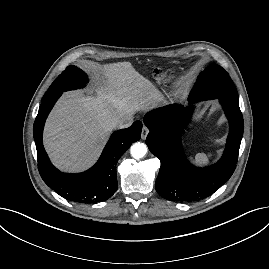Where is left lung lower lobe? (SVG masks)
<instances>
[{"instance_id": "0a47b994", "label": "left lung lower lobe", "mask_w": 269, "mask_h": 269, "mask_svg": "<svg viewBox=\"0 0 269 269\" xmlns=\"http://www.w3.org/2000/svg\"><path fill=\"white\" fill-rule=\"evenodd\" d=\"M192 92V91H191ZM230 123L227 145L220 161L206 168H196L186 159L181 133L189 122L192 107L168 105L150 111L144 124L150 132L146 144L161 161L155 182L158 194L170 201H198L212 195L233 174L243 135V117L239 101L219 98ZM190 102H195L191 93Z\"/></svg>"}]
</instances>
